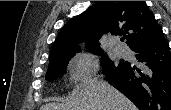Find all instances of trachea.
<instances>
[{
	"instance_id": "obj_1",
	"label": "trachea",
	"mask_w": 171,
	"mask_h": 110,
	"mask_svg": "<svg viewBox=\"0 0 171 110\" xmlns=\"http://www.w3.org/2000/svg\"><path fill=\"white\" fill-rule=\"evenodd\" d=\"M125 38H121V41H124Z\"/></svg>"
}]
</instances>
